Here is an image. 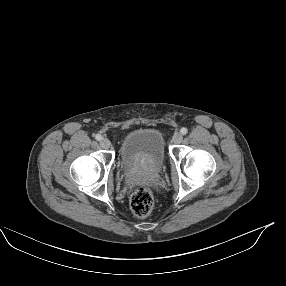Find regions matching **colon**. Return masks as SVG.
Segmentation results:
<instances>
[{
  "label": "colon",
  "mask_w": 286,
  "mask_h": 286,
  "mask_svg": "<svg viewBox=\"0 0 286 286\" xmlns=\"http://www.w3.org/2000/svg\"><path fill=\"white\" fill-rule=\"evenodd\" d=\"M130 206L136 216H148L154 206V198L152 192L148 188L138 187L132 194Z\"/></svg>",
  "instance_id": "obj_1"
}]
</instances>
